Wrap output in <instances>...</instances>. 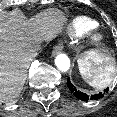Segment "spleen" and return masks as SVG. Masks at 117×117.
<instances>
[{
  "label": "spleen",
  "mask_w": 117,
  "mask_h": 117,
  "mask_svg": "<svg viewBox=\"0 0 117 117\" xmlns=\"http://www.w3.org/2000/svg\"><path fill=\"white\" fill-rule=\"evenodd\" d=\"M77 62L82 78L93 88L104 89L112 83L116 67L108 53L91 50Z\"/></svg>",
  "instance_id": "1"
}]
</instances>
